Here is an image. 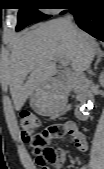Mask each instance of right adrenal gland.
Segmentation results:
<instances>
[{
  "label": "right adrenal gland",
  "instance_id": "2a0ac1e0",
  "mask_svg": "<svg viewBox=\"0 0 104 169\" xmlns=\"http://www.w3.org/2000/svg\"><path fill=\"white\" fill-rule=\"evenodd\" d=\"M104 58V51L100 49V47L97 48V59L94 64V69L97 70L98 64L103 60Z\"/></svg>",
  "mask_w": 104,
  "mask_h": 169
}]
</instances>
